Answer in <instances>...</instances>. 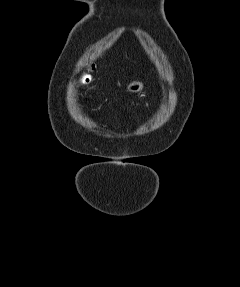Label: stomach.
Returning a JSON list of instances; mask_svg holds the SVG:
<instances>
[{"instance_id": "0dacf381", "label": "stomach", "mask_w": 240, "mask_h": 287, "mask_svg": "<svg viewBox=\"0 0 240 287\" xmlns=\"http://www.w3.org/2000/svg\"><path fill=\"white\" fill-rule=\"evenodd\" d=\"M126 89L130 93H138L143 89V84L139 81H130Z\"/></svg>"}]
</instances>
